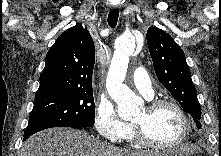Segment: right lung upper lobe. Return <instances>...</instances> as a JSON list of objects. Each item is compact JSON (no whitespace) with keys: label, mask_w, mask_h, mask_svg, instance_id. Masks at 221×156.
<instances>
[{"label":"right lung upper lobe","mask_w":221,"mask_h":156,"mask_svg":"<svg viewBox=\"0 0 221 156\" xmlns=\"http://www.w3.org/2000/svg\"><path fill=\"white\" fill-rule=\"evenodd\" d=\"M95 47L80 23L62 33L46 55L35 98L92 89Z\"/></svg>","instance_id":"cb5924a9"}]
</instances>
